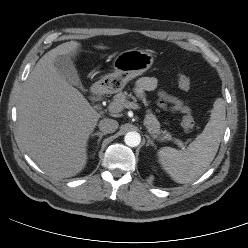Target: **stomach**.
<instances>
[{"label": "stomach", "mask_w": 248, "mask_h": 248, "mask_svg": "<svg viewBox=\"0 0 248 248\" xmlns=\"http://www.w3.org/2000/svg\"><path fill=\"white\" fill-rule=\"evenodd\" d=\"M154 58L144 50H126L119 53L113 61L114 72L105 75L98 84L104 91L116 93L137 76L152 66Z\"/></svg>", "instance_id": "0dacf381"}]
</instances>
